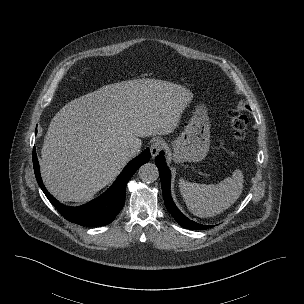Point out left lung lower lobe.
I'll use <instances>...</instances> for the list:
<instances>
[{"instance_id": "left-lung-lower-lobe-1", "label": "left lung lower lobe", "mask_w": 304, "mask_h": 304, "mask_svg": "<svg viewBox=\"0 0 304 304\" xmlns=\"http://www.w3.org/2000/svg\"><path fill=\"white\" fill-rule=\"evenodd\" d=\"M155 164L159 170L165 206L169 211V213L174 217V219L182 227L187 229L204 230L210 228L211 227L210 225H202L185 217L173 202L170 193L171 174H170V170L168 169L165 163L163 152H160V154L155 158Z\"/></svg>"}]
</instances>
